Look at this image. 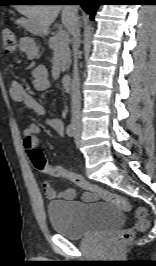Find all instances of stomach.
Segmentation results:
<instances>
[{
  "instance_id": "0dacf381",
  "label": "stomach",
  "mask_w": 156,
  "mask_h": 266,
  "mask_svg": "<svg viewBox=\"0 0 156 266\" xmlns=\"http://www.w3.org/2000/svg\"><path fill=\"white\" fill-rule=\"evenodd\" d=\"M18 25L24 27L27 31L32 34H44L46 29L40 27L39 25L35 24L28 18H20L15 22Z\"/></svg>"
}]
</instances>
